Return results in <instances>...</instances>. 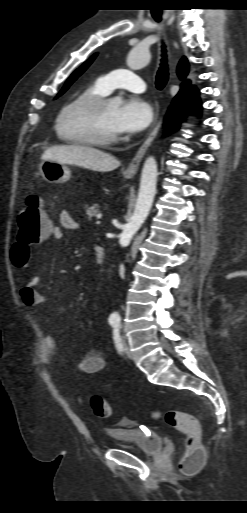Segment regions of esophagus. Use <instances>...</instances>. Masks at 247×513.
Instances as JSON below:
<instances>
[{
    "label": "esophagus",
    "instance_id": "obj_1",
    "mask_svg": "<svg viewBox=\"0 0 247 513\" xmlns=\"http://www.w3.org/2000/svg\"><path fill=\"white\" fill-rule=\"evenodd\" d=\"M160 125H161V120L158 119V111H157L155 114L151 129H150V132L148 134V137L143 142V144L140 146L137 153L135 154V156L131 160L130 164L126 168V170L124 172L125 175L134 176L137 173L140 162H141L142 158L144 157L147 149L151 145L152 141L154 140L155 136L157 135Z\"/></svg>",
    "mask_w": 247,
    "mask_h": 513
}]
</instances>
